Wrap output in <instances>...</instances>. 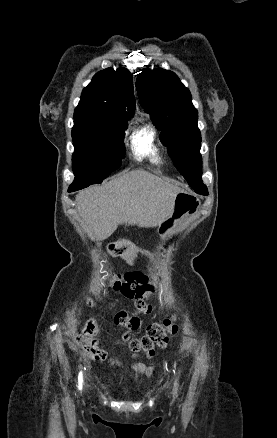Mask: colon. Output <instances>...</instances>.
<instances>
[{
	"label": "colon",
	"instance_id": "obj_1",
	"mask_svg": "<svg viewBox=\"0 0 277 438\" xmlns=\"http://www.w3.org/2000/svg\"><path fill=\"white\" fill-rule=\"evenodd\" d=\"M101 270L104 269L102 266ZM102 281L112 285L113 289L129 300L135 301L136 313L144 314L152 310V305L148 300L149 293L152 291V283L149 277L142 272H109L101 275ZM88 305L94 306L95 299L89 298ZM136 318L134 313L120 312L115 318V326L128 328L133 326ZM89 327L85 332V339L88 342H95L98 339V332L102 328V321L99 318H92ZM177 328L176 319L169 318L162 322L151 324L147 327L144 335L131 336L124 333L114 339L116 346L128 343L132 350L144 351L147 355L153 354L156 348H162L167 344L169 335Z\"/></svg>",
	"mask_w": 277,
	"mask_h": 438
}]
</instances>
